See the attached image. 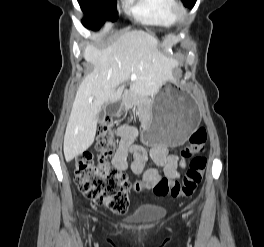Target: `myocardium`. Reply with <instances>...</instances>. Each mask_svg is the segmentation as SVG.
<instances>
[{
	"mask_svg": "<svg viewBox=\"0 0 264 247\" xmlns=\"http://www.w3.org/2000/svg\"><path fill=\"white\" fill-rule=\"evenodd\" d=\"M173 12L176 22L183 24L188 21V11L184 6L176 5Z\"/></svg>",
	"mask_w": 264,
	"mask_h": 247,
	"instance_id": "obj_1",
	"label": "myocardium"
}]
</instances>
